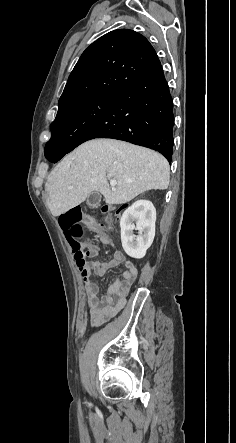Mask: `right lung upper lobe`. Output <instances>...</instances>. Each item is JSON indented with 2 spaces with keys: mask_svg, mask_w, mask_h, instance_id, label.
Instances as JSON below:
<instances>
[{
  "mask_svg": "<svg viewBox=\"0 0 236 443\" xmlns=\"http://www.w3.org/2000/svg\"><path fill=\"white\" fill-rule=\"evenodd\" d=\"M158 60L141 34L129 30L111 31L81 55L59 99L58 112L97 94L126 90Z\"/></svg>",
  "mask_w": 236,
  "mask_h": 443,
  "instance_id": "obj_1",
  "label": "right lung upper lobe"
}]
</instances>
